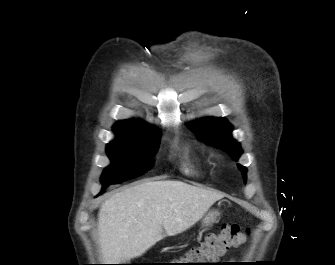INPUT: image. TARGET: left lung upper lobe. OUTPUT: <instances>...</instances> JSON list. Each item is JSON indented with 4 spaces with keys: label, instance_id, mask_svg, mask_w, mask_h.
<instances>
[{
    "label": "left lung upper lobe",
    "instance_id": "5c2ea615",
    "mask_svg": "<svg viewBox=\"0 0 335 265\" xmlns=\"http://www.w3.org/2000/svg\"><path fill=\"white\" fill-rule=\"evenodd\" d=\"M188 128L196 134L198 140L223 149L235 161L241 156L240 144L232 138V126L225 119L205 118L190 123ZM238 168L246 181V168L241 165H238Z\"/></svg>",
    "mask_w": 335,
    "mask_h": 265
}]
</instances>
